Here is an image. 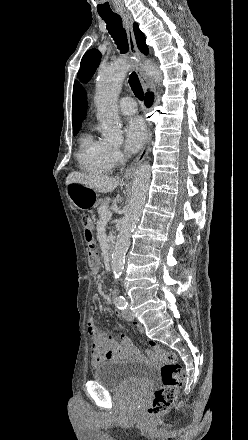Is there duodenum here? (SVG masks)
<instances>
[{
    "mask_svg": "<svg viewBox=\"0 0 248 440\" xmlns=\"http://www.w3.org/2000/svg\"><path fill=\"white\" fill-rule=\"evenodd\" d=\"M114 250H115V245H114L113 242H110V244L108 246V249H107V254H106L107 255V263H108V265H110V263H111V259H112Z\"/></svg>",
    "mask_w": 248,
    "mask_h": 440,
    "instance_id": "1",
    "label": "duodenum"
}]
</instances>
